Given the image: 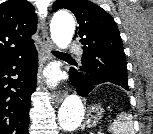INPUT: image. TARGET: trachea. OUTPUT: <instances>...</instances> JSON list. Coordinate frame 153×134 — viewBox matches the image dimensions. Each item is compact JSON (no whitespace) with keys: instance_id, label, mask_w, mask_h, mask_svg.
Returning a JSON list of instances; mask_svg holds the SVG:
<instances>
[{"instance_id":"obj_1","label":"trachea","mask_w":153,"mask_h":134,"mask_svg":"<svg viewBox=\"0 0 153 134\" xmlns=\"http://www.w3.org/2000/svg\"><path fill=\"white\" fill-rule=\"evenodd\" d=\"M52 53L56 56H70L68 54L62 53V52H58V51H52Z\"/></svg>"}]
</instances>
